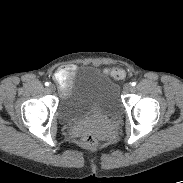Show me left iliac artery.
I'll use <instances>...</instances> for the list:
<instances>
[{
  "mask_svg": "<svg viewBox=\"0 0 183 183\" xmlns=\"http://www.w3.org/2000/svg\"><path fill=\"white\" fill-rule=\"evenodd\" d=\"M131 85L134 87L136 86V82H132Z\"/></svg>",
  "mask_w": 183,
  "mask_h": 183,
  "instance_id": "obj_1",
  "label": "left iliac artery"
}]
</instances>
